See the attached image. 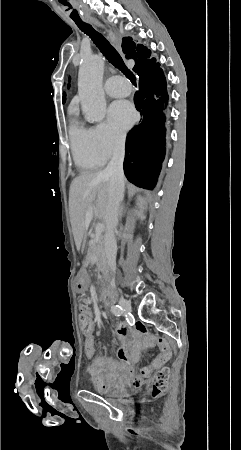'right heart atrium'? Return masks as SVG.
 <instances>
[{
  "instance_id": "obj_1",
  "label": "right heart atrium",
  "mask_w": 241,
  "mask_h": 450,
  "mask_svg": "<svg viewBox=\"0 0 241 450\" xmlns=\"http://www.w3.org/2000/svg\"><path fill=\"white\" fill-rule=\"evenodd\" d=\"M96 136L95 131H92L94 152L104 160H109L115 155H127L128 148L123 146L125 142V135L113 129L106 123L97 125Z\"/></svg>"
}]
</instances>
